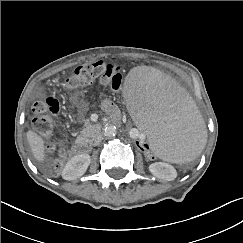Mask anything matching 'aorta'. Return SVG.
Wrapping results in <instances>:
<instances>
[{
    "label": "aorta",
    "mask_w": 243,
    "mask_h": 243,
    "mask_svg": "<svg viewBox=\"0 0 243 243\" xmlns=\"http://www.w3.org/2000/svg\"><path fill=\"white\" fill-rule=\"evenodd\" d=\"M103 133L107 137H113L117 133V127L114 124H106L103 128Z\"/></svg>",
    "instance_id": "aorta-1"
}]
</instances>
